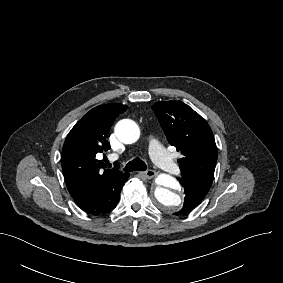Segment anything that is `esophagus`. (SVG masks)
Returning <instances> with one entry per match:
<instances>
[{
	"mask_svg": "<svg viewBox=\"0 0 283 283\" xmlns=\"http://www.w3.org/2000/svg\"><path fill=\"white\" fill-rule=\"evenodd\" d=\"M140 174L147 179H152L157 176V172L154 170H146L144 172H140Z\"/></svg>",
	"mask_w": 283,
	"mask_h": 283,
	"instance_id": "obj_1",
	"label": "esophagus"
}]
</instances>
